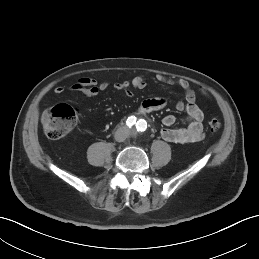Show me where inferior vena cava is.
<instances>
[{"label":"inferior vena cava","mask_w":259,"mask_h":259,"mask_svg":"<svg viewBox=\"0 0 259 259\" xmlns=\"http://www.w3.org/2000/svg\"><path fill=\"white\" fill-rule=\"evenodd\" d=\"M115 139L120 142V141H123V140H124V137L121 136L119 133H116V134H115Z\"/></svg>","instance_id":"obj_1"}]
</instances>
